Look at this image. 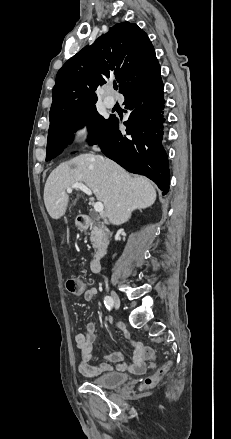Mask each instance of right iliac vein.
<instances>
[{
  "mask_svg": "<svg viewBox=\"0 0 231 439\" xmlns=\"http://www.w3.org/2000/svg\"><path fill=\"white\" fill-rule=\"evenodd\" d=\"M111 298L113 300V305L116 309H118L120 307V298L118 296V294L114 291L111 292Z\"/></svg>",
  "mask_w": 231,
  "mask_h": 439,
  "instance_id": "1",
  "label": "right iliac vein"
}]
</instances>
